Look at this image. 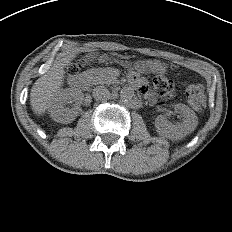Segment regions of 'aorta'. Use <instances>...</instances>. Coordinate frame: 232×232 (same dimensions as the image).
<instances>
[{
	"instance_id": "aorta-1",
	"label": "aorta",
	"mask_w": 232,
	"mask_h": 232,
	"mask_svg": "<svg viewBox=\"0 0 232 232\" xmlns=\"http://www.w3.org/2000/svg\"><path fill=\"white\" fill-rule=\"evenodd\" d=\"M134 96V90L131 87H123L120 91V99L123 102L130 101Z\"/></svg>"
}]
</instances>
